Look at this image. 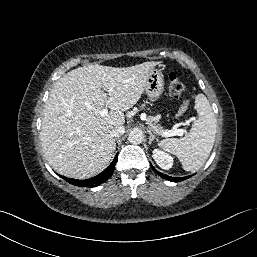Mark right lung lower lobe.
<instances>
[{"label": "right lung lower lobe", "instance_id": "right-lung-lower-lobe-1", "mask_svg": "<svg viewBox=\"0 0 257 257\" xmlns=\"http://www.w3.org/2000/svg\"><path fill=\"white\" fill-rule=\"evenodd\" d=\"M117 156H118V154L115 156L112 163L103 172H101L97 176L92 177L90 179L76 180V179H71V178H67V177H64V176H61V177L64 180H66L68 183L73 184L75 186L96 187V186L104 183L105 181H107L110 178V176L112 175V173L114 171L115 164L117 162Z\"/></svg>", "mask_w": 257, "mask_h": 257}]
</instances>
